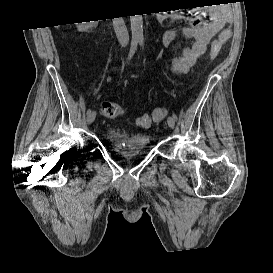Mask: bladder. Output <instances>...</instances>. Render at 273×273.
Masks as SVG:
<instances>
[{
  "label": "bladder",
  "instance_id": "31cf9c89",
  "mask_svg": "<svg viewBox=\"0 0 273 273\" xmlns=\"http://www.w3.org/2000/svg\"><path fill=\"white\" fill-rule=\"evenodd\" d=\"M106 139L112 151L121 158L136 156L145 151L150 138L147 133H129L118 129H110Z\"/></svg>",
  "mask_w": 273,
  "mask_h": 273
}]
</instances>
